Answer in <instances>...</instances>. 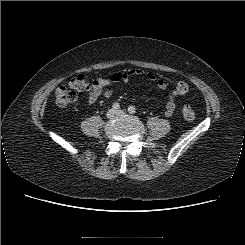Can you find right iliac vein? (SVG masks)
<instances>
[{
    "label": "right iliac vein",
    "mask_w": 245,
    "mask_h": 245,
    "mask_svg": "<svg viewBox=\"0 0 245 245\" xmlns=\"http://www.w3.org/2000/svg\"><path fill=\"white\" fill-rule=\"evenodd\" d=\"M116 115V111L114 109L108 110L106 116L108 119H112Z\"/></svg>",
    "instance_id": "1"
}]
</instances>
